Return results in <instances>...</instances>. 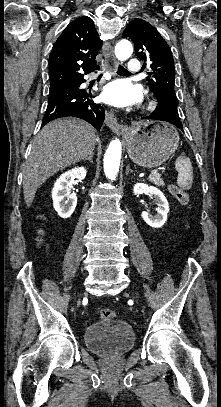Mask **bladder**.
Returning <instances> with one entry per match:
<instances>
[{
  "label": "bladder",
  "instance_id": "1",
  "mask_svg": "<svg viewBox=\"0 0 221 407\" xmlns=\"http://www.w3.org/2000/svg\"><path fill=\"white\" fill-rule=\"evenodd\" d=\"M84 339L87 348L106 357L128 352L135 343V332L122 320L97 322L86 327Z\"/></svg>",
  "mask_w": 221,
  "mask_h": 407
}]
</instances>
